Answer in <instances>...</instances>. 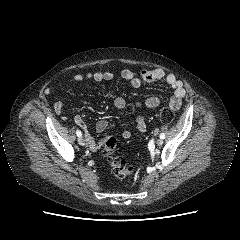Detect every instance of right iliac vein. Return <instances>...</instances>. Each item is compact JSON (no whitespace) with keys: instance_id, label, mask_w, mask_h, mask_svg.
<instances>
[{"instance_id":"right-iliac-vein-1","label":"right iliac vein","mask_w":240,"mask_h":240,"mask_svg":"<svg viewBox=\"0 0 240 240\" xmlns=\"http://www.w3.org/2000/svg\"><path fill=\"white\" fill-rule=\"evenodd\" d=\"M78 143L81 145V146H84L85 145V140L83 137H79L78 138Z\"/></svg>"}]
</instances>
